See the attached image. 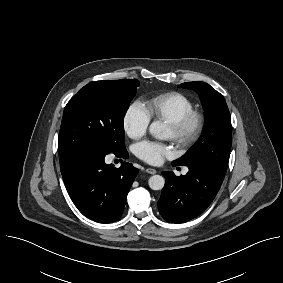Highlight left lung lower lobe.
<instances>
[{
	"instance_id": "0a47b994",
	"label": "left lung lower lobe",
	"mask_w": 283,
	"mask_h": 283,
	"mask_svg": "<svg viewBox=\"0 0 283 283\" xmlns=\"http://www.w3.org/2000/svg\"><path fill=\"white\" fill-rule=\"evenodd\" d=\"M187 167L189 171L186 175L162 173L166 181L158 209L167 222L179 224L200 215L211 204L222 185L224 177L205 168Z\"/></svg>"
}]
</instances>
